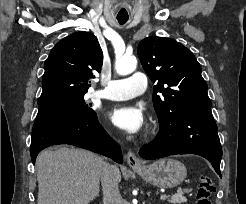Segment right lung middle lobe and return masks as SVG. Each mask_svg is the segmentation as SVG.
I'll list each match as a JSON object with an SVG mask.
<instances>
[{
  "label": "right lung middle lobe",
  "instance_id": "obj_1",
  "mask_svg": "<svg viewBox=\"0 0 246 204\" xmlns=\"http://www.w3.org/2000/svg\"><path fill=\"white\" fill-rule=\"evenodd\" d=\"M85 93H67L48 100L38 101L39 109L55 108L80 116L92 115L95 112L90 108L91 104L85 103L83 98Z\"/></svg>",
  "mask_w": 246,
  "mask_h": 204
}]
</instances>
